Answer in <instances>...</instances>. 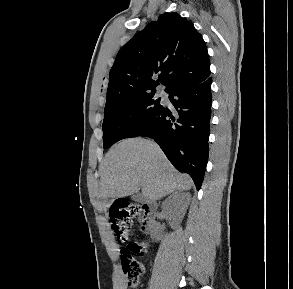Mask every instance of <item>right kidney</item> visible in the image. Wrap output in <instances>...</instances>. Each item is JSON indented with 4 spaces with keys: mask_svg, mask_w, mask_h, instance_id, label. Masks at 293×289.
<instances>
[{
    "mask_svg": "<svg viewBox=\"0 0 293 289\" xmlns=\"http://www.w3.org/2000/svg\"><path fill=\"white\" fill-rule=\"evenodd\" d=\"M186 204V202H182L178 193H174L163 202L162 208L165 212L170 214L173 222L177 223L181 221L184 216Z\"/></svg>",
    "mask_w": 293,
    "mask_h": 289,
    "instance_id": "1",
    "label": "right kidney"
}]
</instances>
